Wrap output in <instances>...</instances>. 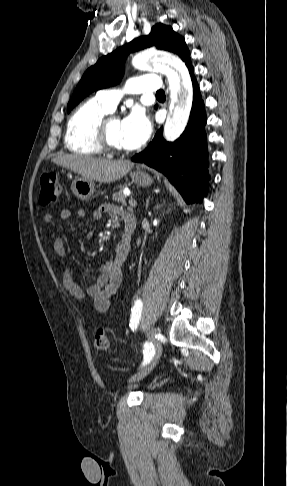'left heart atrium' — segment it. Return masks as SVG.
Segmentation results:
<instances>
[{
  "mask_svg": "<svg viewBox=\"0 0 287 486\" xmlns=\"http://www.w3.org/2000/svg\"><path fill=\"white\" fill-rule=\"evenodd\" d=\"M123 142L126 149H135L144 144L150 133L151 123L141 111H133L122 120Z\"/></svg>",
  "mask_w": 287,
  "mask_h": 486,
  "instance_id": "1",
  "label": "left heart atrium"
}]
</instances>
